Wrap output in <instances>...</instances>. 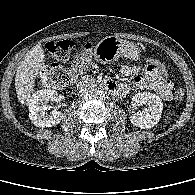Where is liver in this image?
Wrapping results in <instances>:
<instances>
[{
	"instance_id": "obj_1",
	"label": "liver",
	"mask_w": 195,
	"mask_h": 195,
	"mask_svg": "<svg viewBox=\"0 0 195 195\" xmlns=\"http://www.w3.org/2000/svg\"><path fill=\"white\" fill-rule=\"evenodd\" d=\"M45 54L42 46H34L20 62L16 76L15 89L17 98L21 104L29 105L35 86V78L43 68Z\"/></svg>"
}]
</instances>
